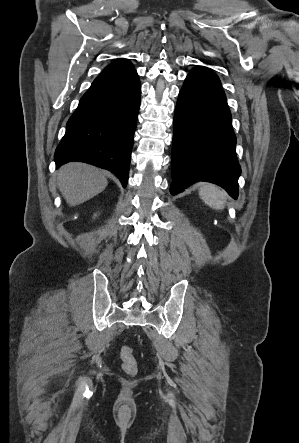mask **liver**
I'll use <instances>...</instances> for the list:
<instances>
[{
  "label": "liver",
  "mask_w": 299,
  "mask_h": 443,
  "mask_svg": "<svg viewBox=\"0 0 299 443\" xmlns=\"http://www.w3.org/2000/svg\"><path fill=\"white\" fill-rule=\"evenodd\" d=\"M108 181L104 173L89 164L69 162L57 173V186L69 206H76L101 193Z\"/></svg>",
  "instance_id": "liver-1"
}]
</instances>
